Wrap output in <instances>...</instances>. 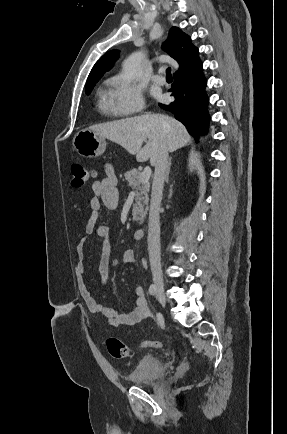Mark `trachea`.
I'll use <instances>...</instances> for the list:
<instances>
[{
  "label": "trachea",
  "mask_w": 287,
  "mask_h": 434,
  "mask_svg": "<svg viewBox=\"0 0 287 434\" xmlns=\"http://www.w3.org/2000/svg\"><path fill=\"white\" fill-rule=\"evenodd\" d=\"M166 78H172V75H171V68H170V67H168V68L166 69Z\"/></svg>",
  "instance_id": "1"
}]
</instances>
